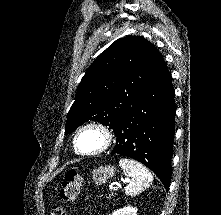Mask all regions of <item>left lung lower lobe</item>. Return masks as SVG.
I'll list each match as a JSON object with an SVG mask.
<instances>
[{"label": "left lung lower lobe", "instance_id": "obj_1", "mask_svg": "<svg viewBox=\"0 0 221 215\" xmlns=\"http://www.w3.org/2000/svg\"><path fill=\"white\" fill-rule=\"evenodd\" d=\"M175 113L171 74L164 63L114 129L117 140L112 154L143 163L166 190L171 182Z\"/></svg>", "mask_w": 221, "mask_h": 215}]
</instances>
